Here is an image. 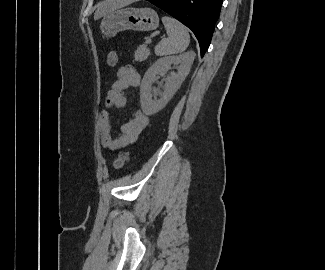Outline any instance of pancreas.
Wrapping results in <instances>:
<instances>
[{"instance_id":"pancreas-1","label":"pancreas","mask_w":325,"mask_h":270,"mask_svg":"<svg viewBox=\"0 0 325 270\" xmlns=\"http://www.w3.org/2000/svg\"><path fill=\"white\" fill-rule=\"evenodd\" d=\"M150 55V50L147 48L146 45H141L135 51L134 59L135 61H144Z\"/></svg>"}]
</instances>
